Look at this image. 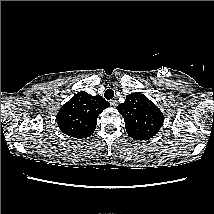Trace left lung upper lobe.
Returning a JSON list of instances; mask_svg holds the SVG:
<instances>
[{
	"instance_id": "obj_1",
	"label": "left lung upper lobe",
	"mask_w": 214,
	"mask_h": 214,
	"mask_svg": "<svg viewBox=\"0 0 214 214\" xmlns=\"http://www.w3.org/2000/svg\"><path fill=\"white\" fill-rule=\"evenodd\" d=\"M117 110L124 118L127 133L136 140L152 138L164 123L162 112L142 93L127 95Z\"/></svg>"
}]
</instances>
